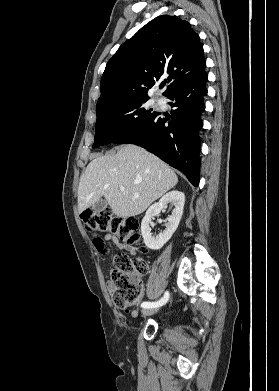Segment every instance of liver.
Returning <instances> with one entry per match:
<instances>
[{
    "mask_svg": "<svg viewBox=\"0 0 279 391\" xmlns=\"http://www.w3.org/2000/svg\"><path fill=\"white\" fill-rule=\"evenodd\" d=\"M177 183V175L165 162L144 148L127 144L88 164L78 187V211L104 197L115 215L136 216Z\"/></svg>",
    "mask_w": 279,
    "mask_h": 391,
    "instance_id": "obj_1",
    "label": "liver"
}]
</instances>
